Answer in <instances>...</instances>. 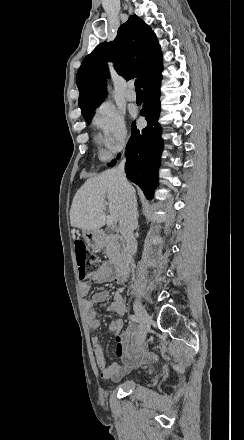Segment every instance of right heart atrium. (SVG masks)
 <instances>
[{"label": "right heart atrium", "mask_w": 244, "mask_h": 440, "mask_svg": "<svg viewBox=\"0 0 244 440\" xmlns=\"http://www.w3.org/2000/svg\"><path fill=\"white\" fill-rule=\"evenodd\" d=\"M99 133V143L108 154L118 153L127 142L124 113L110 102L100 104L92 117Z\"/></svg>", "instance_id": "right-heart-atrium-1"}]
</instances>
